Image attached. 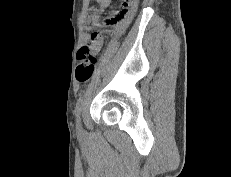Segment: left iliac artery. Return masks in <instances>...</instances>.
Listing matches in <instances>:
<instances>
[{"label":"left iliac artery","instance_id":"44dca946","mask_svg":"<svg viewBox=\"0 0 231 177\" xmlns=\"http://www.w3.org/2000/svg\"><path fill=\"white\" fill-rule=\"evenodd\" d=\"M82 105H83V97L80 96L78 98V100H77V103H76V106H75V110H74L77 122L80 121V115H81Z\"/></svg>","mask_w":231,"mask_h":177}]
</instances>
